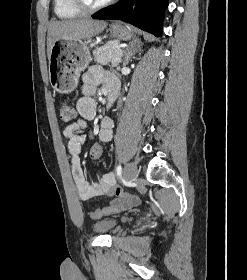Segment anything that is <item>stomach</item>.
<instances>
[{"label":"stomach","instance_id":"stomach-1","mask_svg":"<svg viewBox=\"0 0 247 280\" xmlns=\"http://www.w3.org/2000/svg\"><path fill=\"white\" fill-rule=\"evenodd\" d=\"M112 37L129 40L133 37L131 29L117 22L109 26ZM92 60L87 42L82 40H56L49 58V81L60 93L73 91L79 76Z\"/></svg>","mask_w":247,"mask_h":280}]
</instances>
